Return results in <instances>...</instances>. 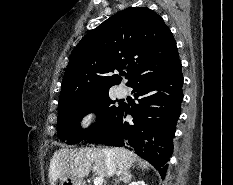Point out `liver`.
Wrapping results in <instances>:
<instances>
[{
    "instance_id": "obj_1",
    "label": "liver",
    "mask_w": 233,
    "mask_h": 185,
    "mask_svg": "<svg viewBox=\"0 0 233 185\" xmlns=\"http://www.w3.org/2000/svg\"><path fill=\"white\" fill-rule=\"evenodd\" d=\"M106 154L112 158L117 174L134 168L136 161L142 169L149 167L147 162L142 161L133 151L125 148H61L54 153L50 160V184L56 185L57 180L63 176H72L82 180L91 170L99 177L107 176Z\"/></svg>"
}]
</instances>
